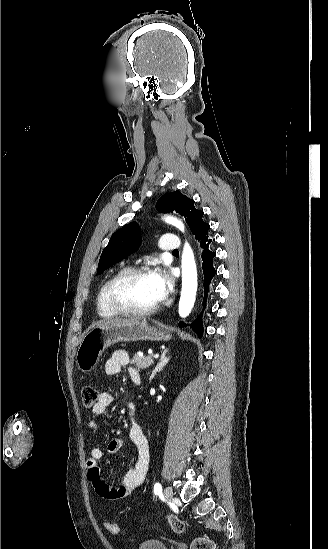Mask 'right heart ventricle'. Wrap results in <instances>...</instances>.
I'll return each mask as SVG.
<instances>
[{"instance_id":"1","label":"right heart ventricle","mask_w":328,"mask_h":549,"mask_svg":"<svg viewBox=\"0 0 328 549\" xmlns=\"http://www.w3.org/2000/svg\"><path fill=\"white\" fill-rule=\"evenodd\" d=\"M129 265H131V261H129V260L120 263V265L118 266V270L115 272V274L103 283V285L101 286V288L98 292L97 299H96V312H97V315L100 317V319H102L104 321H110L112 319H118L119 318V316L112 315L107 311V309H106L107 303H106V300H105V291H106V288H107L108 284L110 283V281L119 272H121L123 269H125Z\"/></svg>"}]
</instances>
